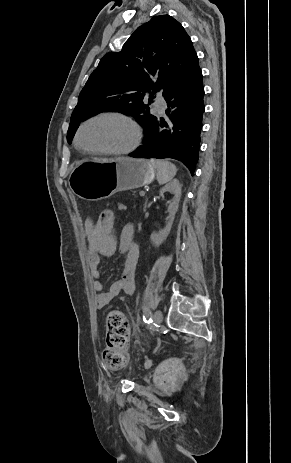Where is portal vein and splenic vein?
Masks as SVG:
<instances>
[{
    "label": "portal vein and splenic vein",
    "instance_id": "18ae733b",
    "mask_svg": "<svg viewBox=\"0 0 291 463\" xmlns=\"http://www.w3.org/2000/svg\"><path fill=\"white\" fill-rule=\"evenodd\" d=\"M145 193L143 191L140 192V196H144Z\"/></svg>",
    "mask_w": 291,
    "mask_h": 463
}]
</instances>
